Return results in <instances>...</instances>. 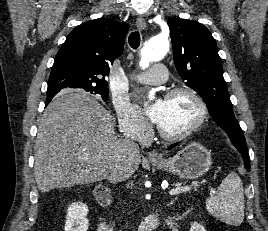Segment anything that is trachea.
<instances>
[{"instance_id": "obj_1", "label": "trachea", "mask_w": 268, "mask_h": 231, "mask_svg": "<svg viewBox=\"0 0 268 231\" xmlns=\"http://www.w3.org/2000/svg\"><path fill=\"white\" fill-rule=\"evenodd\" d=\"M128 42L133 49H137L140 46V34L138 31L132 32L129 35Z\"/></svg>"}]
</instances>
